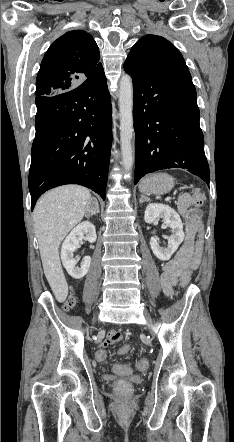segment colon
Masks as SVG:
<instances>
[{
    "label": "colon",
    "mask_w": 234,
    "mask_h": 442,
    "mask_svg": "<svg viewBox=\"0 0 234 442\" xmlns=\"http://www.w3.org/2000/svg\"><path fill=\"white\" fill-rule=\"evenodd\" d=\"M204 201H205V195L203 194V192L200 189H196L194 192V195H193V206L196 209H199L204 204ZM194 237H195V235H194ZM201 251H202L201 244H200V241L197 239L195 254L192 256L191 266L193 268H191V271H195V269L200 268L201 264H203L204 259L201 255ZM190 280H191V272L190 271L184 272L181 277V285L183 287L188 286L190 283ZM75 305H76V297L74 295H71L67 298V300L64 304V309L70 310ZM129 350H130L129 344H124V346L120 345L117 349V354L123 355L125 352H128ZM108 353H109V350L107 348L100 347V348H98V350H96L95 355H96V358L99 362L107 363L108 357H109ZM113 353H116V350H113ZM137 367L139 369H144L146 367L145 357H143V356L138 357ZM113 370L118 375H129L132 371L131 367L128 365V363L126 361H123L121 364L120 363L114 364ZM132 387H133L132 380H115L114 381V388L118 389V391L120 393H126L129 391V389H132Z\"/></svg>",
    "instance_id": "5ec220e1"
}]
</instances>
